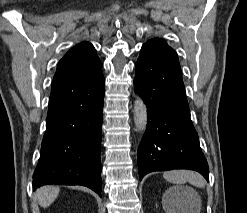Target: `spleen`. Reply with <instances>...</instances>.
I'll use <instances>...</instances> for the list:
<instances>
[{
  "mask_svg": "<svg viewBox=\"0 0 247 213\" xmlns=\"http://www.w3.org/2000/svg\"><path fill=\"white\" fill-rule=\"evenodd\" d=\"M163 177L174 184H184L185 182H189L190 184H192L193 186L199 187V188H204L205 187V180L204 178L196 173V172H192V171H188V170H173V171H168V172H164ZM175 189H170L166 192L167 196H170L172 194V192ZM176 206H178L176 204ZM168 212L169 213H175L173 211V209L168 207Z\"/></svg>",
  "mask_w": 247,
  "mask_h": 213,
  "instance_id": "1",
  "label": "spleen"
}]
</instances>
